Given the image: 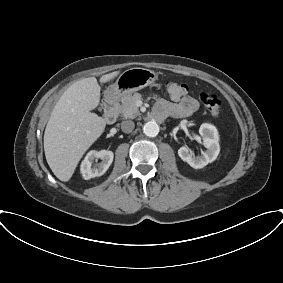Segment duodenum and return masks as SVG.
Returning <instances> with one entry per match:
<instances>
[{
  "instance_id": "duodenum-1",
  "label": "duodenum",
  "mask_w": 283,
  "mask_h": 283,
  "mask_svg": "<svg viewBox=\"0 0 283 283\" xmlns=\"http://www.w3.org/2000/svg\"><path fill=\"white\" fill-rule=\"evenodd\" d=\"M117 102H118V98L115 95H111L105 100L104 119L107 123H113L116 120ZM151 118L156 121H162L165 117L153 112L151 114Z\"/></svg>"
}]
</instances>
